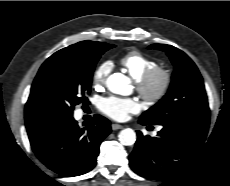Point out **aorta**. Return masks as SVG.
<instances>
[{
  "mask_svg": "<svg viewBox=\"0 0 230 186\" xmlns=\"http://www.w3.org/2000/svg\"><path fill=\"white\" fill-rule=\"evenodd\" d=\"M130 80L121 73H114L110 75L106 81L107 88L116 94L126 95L130 88ZM119 141L121 144L129 146L136 141V133L134 130L127 128L120 131Z\"/></svg>",
  "mask_w": 230,
  "mask_h": 186,
  "instance_id": "762f6f07",
  "label": "aorta"
}]
</instances>
